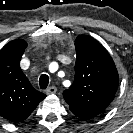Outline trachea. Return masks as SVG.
<instances>
[{
  "instance_id": "1",
  "label": "trachea",
  "mask_w": 133,
  "mask_h": 133,
  "mask_svg": "<svg viewBox=\"0 0 133 133\" xmlns=\"http://www.w3.org/2000/svg\"><path fill=\"white\" fill-rule=\"evenodd\" d=\"M49 84V77L46 74H42L39 78V85L41 89H46Z\"/></svg>"
}]
</instances>
